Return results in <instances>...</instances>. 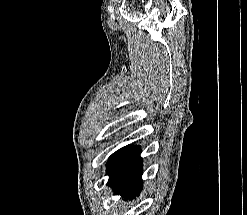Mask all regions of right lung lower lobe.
Here are the masks:
<instances>
[{"mask_svg": "<svg viewBox=\"0 0 247 215\" xmlns=\"http://www.w3.org/2000/svg\"><path fill=\"white\" fill-rule=\"evenodd\" d=\"M138 146L128 145L111 155L107 163L108 185L125 200L139 195L142 189V159Z\"/></svg>", "mask_w": 247, "mask_h": 215, "instance_id": "obj_1", "label": "right lung lower lobe"}]
</instances>
